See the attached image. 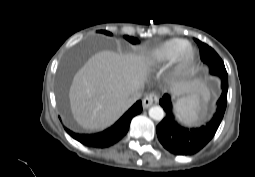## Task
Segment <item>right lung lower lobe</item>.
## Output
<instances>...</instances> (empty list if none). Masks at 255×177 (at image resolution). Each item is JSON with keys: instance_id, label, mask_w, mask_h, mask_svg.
Segmentation results:
<instances>
[{"instance_id": "98d812e1", "label": "right lung lower lobe", "mask_w": 255, "mask_h": 177, "mask_svg": "<svg viewBox=\"0 0 255 177\" xmlns=\"http://www.w3.org/2000/svg\"><path fill=\"white\" fill-rule=\"evenodd\" d=\"M142 111L141 101H137L113 126L97 134H79L66 128L67 133L88 147L106 148L121 140L128 132L131 119Z\"/></svg>"}]
</instances>
